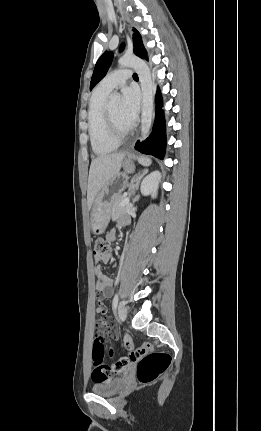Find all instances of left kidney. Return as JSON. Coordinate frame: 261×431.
I'll return each instance as SVG.
<instances>
[{
    "instance_id": "5707ae66",
    "label": "left kidney",
    "mask_w": 261,
    "mask_h": 431,
    "mask_svg": "<svg viewBox=\"0 0 261 431\" xmlns=\"http://www.w3.org/2000/svg\"><path fill=\"white\" fill-rule=\"evenodd\" d=\"M160 178L159 171H154L146 176L141 183V193L144 196L151 195L152 198H156Z\"/></svg>"
}]
</instances>
